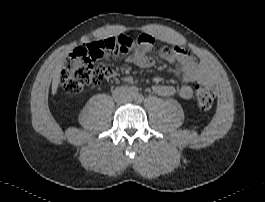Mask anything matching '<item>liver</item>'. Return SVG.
Wrapping results in <instances>:
<instances>
[{
    "label": "liver",
    "instance_id": "1",
    "mask_svg": "<svg viewBox=\"0 0 265 202\" xmlns=\"http://www.w3.org/2000/svg\"><path fill=\"white\" fill-rule=\"evenodd\" d=\"M62 64L63 62H60L56 68L53 71V81H52V94L55 95L58 89V85L60 82V74H61V70H62Z\"/></svg>",
    "mask_w": 265,
    "mask_h": 202
}]
</instances>
